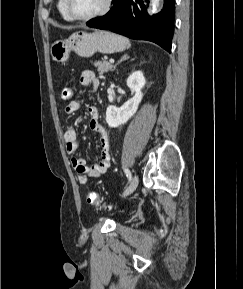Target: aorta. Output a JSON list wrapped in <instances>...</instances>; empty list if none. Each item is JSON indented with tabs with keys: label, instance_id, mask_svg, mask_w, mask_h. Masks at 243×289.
I'll return each mask as SVG.
<instances>
[{
	"label": "aorta",
	"instance_id": "obj_1",
	"mask_svg": "<svg viewBox=\"0 0 243 289\" xmlns=\"http://www.w3.org/2000/svg\"><path fill=\"white\" fill-rule=\"evenodd\" d=\"M160 5V0H151V8L152 10H156Z\"/></svg>",
	"mask_w": 243,
	"mask_h": 289
}]
</instances>
